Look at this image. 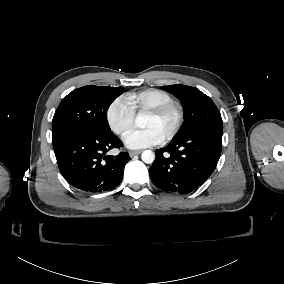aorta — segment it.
Segmentation results:
<instances>
[{
    "instance_id": "aorta-1",
    "label": "aorta",
    "mask_w": 284,
    "mask_h": 284,
    "mask_svg": "<svg viewBox=\"0 0 284 284\" xmlns=\"http://www.w3.org/2000/svg\"><path fill=\"white\" fill-rule=\"evenodd\" d=\"M144 117L142 115H138L136 118V124L139 127L143 126ZM141 159L146 164H151L155 160V154L151 150H145L141 154Z\"/></svg>"
}]
</instances>
